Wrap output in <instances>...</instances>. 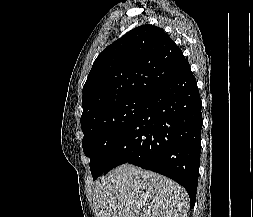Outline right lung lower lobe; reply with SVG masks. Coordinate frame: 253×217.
Returning a JSON list of instances; mask_svg holds the SVG:
<instances>
[{
	"label": "right lung lower lobe",
	"mask_w": 253,
	"mask_h": 217,
	"mask_svg": "<svg viewBox=\"0 0 253 217\" xmlns=\"http://www.w3.org/2000/svg\"><path fill=\"white\" fill-rule=\"evenodd\" d=\"M201 99L187 62L152 93L114 148L104 175L124 163L165 175L188 192L193 208L198 185Z\"/></svg>",
	"instance_id": "1"
}]
</instances>
